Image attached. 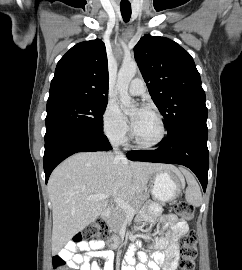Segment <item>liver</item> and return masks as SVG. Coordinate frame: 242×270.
<instances>
[{"instance_id": "liver-1", "label": "liver", "mask_w": 242, "mask_h": 270, "mask_svg": "<svg viewBox=\"0 0 242 270\" xmlns=\"http://www.w3.org/2000/svg\"><path fill=\"white\" fill-rule=\"evenodd\" d=\"M174 166L129 162L108 152H80L52 172L48 193L52 203V251L58 252L72 237L94 222L108 205V198L132 201L146 188L156 172ZM105 194L104 200H88Z\"/></svg>"}]
</instances>
